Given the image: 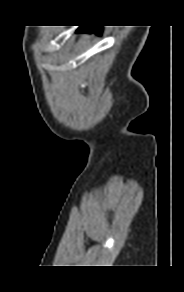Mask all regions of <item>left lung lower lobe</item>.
<instances>
[{
    "instance_id": "left-lung-lower-lobe-1",
    "label": "left lung lower lobe",
    "mask_w": 184,
    "mask_h": 292,
    "mask_svg": "<svg viewBox=\"0 0 184 292\" xmlns=\"http://www.w3.org/2000/svg\"><path fill=\"white\" fill-rule=\"evenodd\" d=\"M77 31L80 32H96V33H101L102 32V27H97V26H82L80 27Z\"/></svg>"
}]
</instances>
